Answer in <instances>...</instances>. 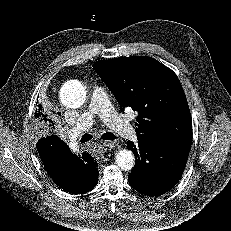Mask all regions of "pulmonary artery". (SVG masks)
<instances>
[{
	"label": "pulmonary artery",
	"instance_id": "e3ab8cb5",
	"mask_svg": "<svg viewBox=\"0 0 231 231\" xmlns=\"http://www.w3.org/2000/svg\"><path fill=\"white\" fill-rule=\"evenodd\" d=\"M99 116L111 129L122 137L133 139L136 132L131 123L112 105L106 89L102 86H95L91 92L90 103L87 110L80 116L76 126L70 130L69 137L75 139L74 133L89 129Z\"/></svg>",
	"mask_w": 231,
	"mask_h": 231
}]
</instances>
